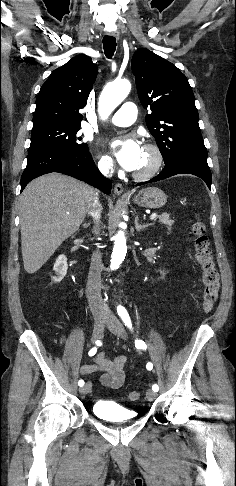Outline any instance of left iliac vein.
I'll use <instances>...</instances> for the list:
<instances>
[{
    "mask_svg": "<svg viewBox=\"0 0 236 486\" xmlns=\"http://www.w3.org/2000/svg\"><path fill=\"white\" fill-rule=\"evenodd\" d=\"M107 327L108 329L115 335H117L118 337L122 338V339H126L127 335H126V331H125V328L123 326V324L113 315H110L107 319ZM157 394L155 391L151 390V389H148L146 391V397L149 401H153L155 400Z\"/></svg>",
    "mask_w": 236,
    "mask_h": 486,
    "instance_id": "1",
    "label": "left iliac vein"
}]
</instances>
